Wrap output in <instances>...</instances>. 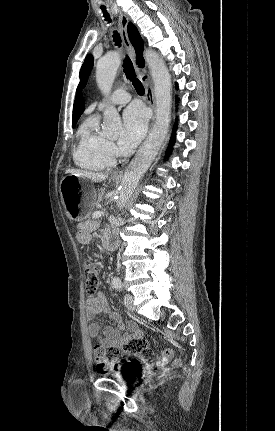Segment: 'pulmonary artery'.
I'll return each instance as SVG.
<instances>
[{
    "label": "pulmonary artery",
    "instance_id": "pulmonary-artery-1",
    "mask_svg": "<svg viewBox=\"0 0 275 431\" xmlns=\"http://www.w3.org/2000/svg\"><path fill=\"white\" fill-rule=\"evenodd\" d=\"M130 99H131V96H130L129 92L127 91V89L124 87H121V88L116 89L112 93V95L108 99V102L112 103V104H125V103L129 102ZM105 106H106V102L101 101L98 105V108L103 109Z\"/></svg>",
    "mask_w": 275,
    "mask_h": 431
}]
</instances>
